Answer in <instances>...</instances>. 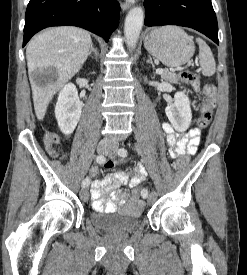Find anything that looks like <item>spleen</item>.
<instances>
[{"instance_id": "spleen-1", "label": "spleen", "mask_w": 247, "mask_h": 275, "mask_svg": "<svg viewBox=\"0 0 247 275\" xmlns=\"http://www.w3.org/2000/svg\"><path fill=\"white\" fill-rule=\"evenodd\" d=\"M199 45V63L204 76H212L216 71V64L210 47L200 38L196 39Z\"/></svg>"}]
</instances>
